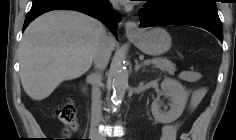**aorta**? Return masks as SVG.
I'll use <instances>...</instances> for the list:
<instances>
[{
	"mask_svg": "<svg viewBox=\"0 0 236 140\" xmlns=\"http://www.w3.org/2000/svg\"><path fill=\"white\" fill-rule=\"evenodd\" d=\"M127 86H128V72L124 67V65L118 62L114 69L113 82H112L113 103L115 104L121 103V101L124 99Z\"/></svg>",
	"mask_w": 236,
	"mask_h": 140,
	"instance_id": "aorta-1",
	"label": "aorta"
}]
</instances>
